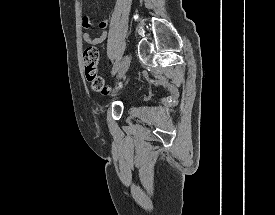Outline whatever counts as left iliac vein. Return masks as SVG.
I'll list each match as a JSON object with an SVG mask.
<instances>
[{"mask_svg":"<svg viewBox=\"0 0 275 215\" xmlns=\"http://www.w3.org/2000/svg\"><path fill=\"white\" fill-rule=\"evenodd\" d=\"M130 66V56L125 55L121 61L118 78H123Z\"/></svg>","mask_w":275,"mask_h":215,"instance_id":"1","label":"left iliac vein"}]
</instances>
